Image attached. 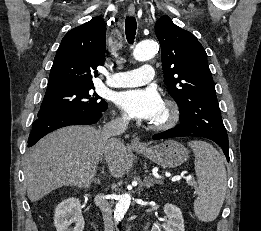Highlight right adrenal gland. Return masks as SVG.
Returning <instances> with one entry per match:
<instances>
[{"mask_svg": "<svg viewBox=\"0 0 261 231\" xmlns=\"http://www.w3.org/2000/svg\"><path fill=\"white\" fill-rule=\"evenodd\" d=\"M101 173L104 175V169L102 168ZM94 183L100 184V179L99 178H94L93 179Z\"/></svg>", "mask_w": 261, "mask_h": 231, "instance_id": "obj_1", "label": "right adrenal gland"}]
</instances>
